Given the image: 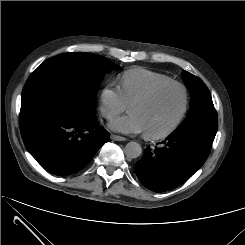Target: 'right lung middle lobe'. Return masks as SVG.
I'll list each match as a JSON object with an SVG mask.
<instances>
[{
    "mask_svg": "<svg viewBox=\"0 0 245 245\" xmlns=\"http://www.w3.org/2000/svg\"><path fill=\"white\" fill-rule=\"evenodd\" d=\"M65 73L59 83L27 80L22 91L20 120H27L63 105L75 115L94 114L95 99L104 75L119 66L106 57L82 52L64 53L46 60Z\"/></svg>",
    "mask_w": 245,
    "mask_h": 245,
    "instance_id": "dd1d6c3e",
    "label": "right lung middle lobe"
}]
</instances>
